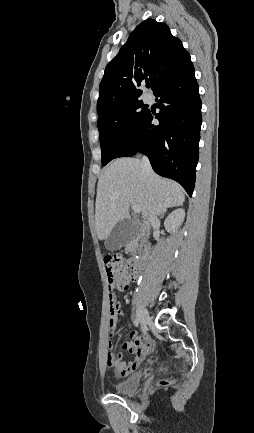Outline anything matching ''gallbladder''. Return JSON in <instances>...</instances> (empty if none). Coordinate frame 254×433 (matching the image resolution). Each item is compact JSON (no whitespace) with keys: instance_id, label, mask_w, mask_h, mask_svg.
Masks as SVG:
<instances>
[{"instance_id":"bac80fb5","label":"gallbladder","mask_w":254,"mask_h":433,"mask_svg":"<svg viewBox=\"0 0 254 433\" xmlns=\"http://www.w3.org/2000/svg\"><path fill=\"white\" fill-rule=\"evenodd\" d=\"M141 232V224L135 219H123L112 229L105 240V247L115 251L123 247L129 241L137 238Z\"/></svg>"}]
</instances>
